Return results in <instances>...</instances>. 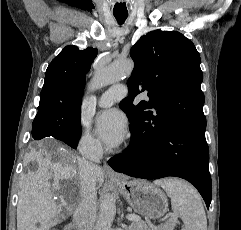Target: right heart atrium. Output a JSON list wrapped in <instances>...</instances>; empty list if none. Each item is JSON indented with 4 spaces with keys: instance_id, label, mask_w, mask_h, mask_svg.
Listing matches in <instances>:
<instances>
[{
    "instance_id": "d8ad5b80",
    "label": "right heart atrium",
    "mask_w": 241,
    "mask_h": 230,
    "mask_svg": "<svg viewBox=\"0 0 241 230\" xmlns=\"http://www.w3.org/2000/svg\"><path fill=\"white\" fill-rule=\"evenodd\" d=\"M78 149L82 154L92 157L101 153L102 146L89 132L82 131L78 138Z\"/></svg>"
}]
</instances>
